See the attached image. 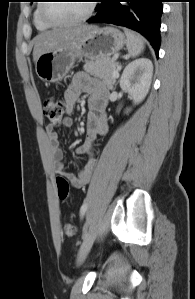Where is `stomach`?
Here are the masks:
<instances>
[{
	"label": "stomach",
	"mask_w": 195,
	"mask_h": 299,
	"mask_svg": "<svg viewBox=\"0 0 195 299\" xmlns=\"http://www.w3.org/2000/svg\"><path fill=\"white\" fill-rule=\"evenodd\" d=\"M125 43L124 34L117 28L94 26L69 46L40 55L35 66L36 74L49 83L61 81L77 59L110 58L120 51Z\"/></svg>",
	"instance_id": "1"
}]
</instances>
